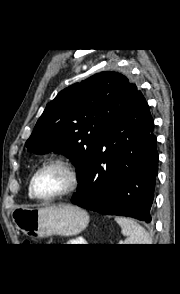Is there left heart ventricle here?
Segmentation results:
<instances>
[{
  "instance_id": "b2bd125f",
  "label": "left heart ventricle",
  "mask_w": 180,
  "mask_h": 294,
  "mask_svg": "<svg viewBox=\"0 0 180 294\" xmlns=\"http://www.w3.org/2000/svg\"><path fill=\"white\" fill-rule=\"evenodd\" d=\"M67 175L60 168H49L36 179V190L41 196L53 195L66 187Z\"/></svg>"
}]
</instances>
